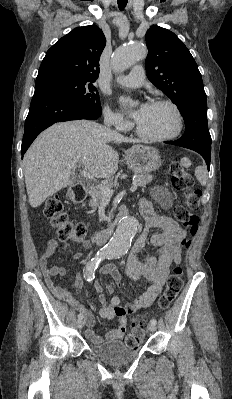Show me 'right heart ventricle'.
Returning a JSON list of instances; mask_svg holds the SVG:
<instances>
[{
  "label": "right heart ventricle",
  "mask_w": 232,
  "mask_h": 399,
  "mask_svg": "<svg viewBox=\"0 0 232 399\" xmlns=\"http://www.w3.org/2000/svg\"><path fill=\"white\" fill-rule=\"evenodd\" d=\"M123 130H126L127 129V127H124V128H122Z\"/></svg>",
  "instance_id": "1"
}]
</instances>
